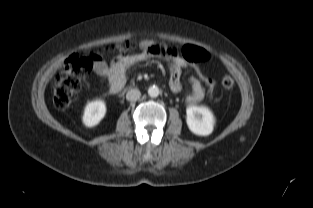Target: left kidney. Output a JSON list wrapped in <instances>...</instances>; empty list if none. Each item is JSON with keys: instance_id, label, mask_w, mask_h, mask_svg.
<instances>
[{"instance_id": "obj_1", "label": "left kidney", "mask_w": 313, "mask_h": 208, "mask_svg": "<svg viewBox=\"0 0 313 208\" xmlns=\"http://www.w3.org/2000/svg\"><path fill=\"white\" fill-rule=\"evenodd\" d=\"M186 122L190 131L199 136H208L214 128L212 112L203 106H189L186 109Z\"/></svg>"}]
</instances>
